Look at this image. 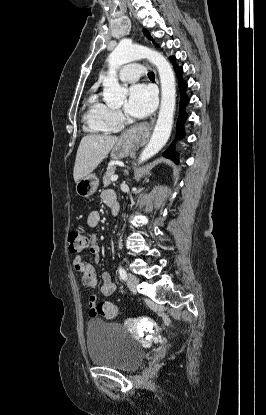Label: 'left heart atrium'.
<instances>
[{
  "label": "left heart atrium",
  "mask_w": 266,
  "mask_h": 415,
  "mask_svg": "<svg viewBox=\"0 0 266 415\" xmlns=\"http://www.w3.org/2000/svg\"><path fill=\"white\" fill-rule=\"evenodd\" d=\"M156 106V95L153 89L145 84H134L129 88L125 112L134 118L149 115Z\"/></svg>",
  "instance_id": "obj_1"
}]
</instances>
